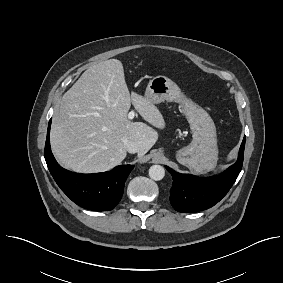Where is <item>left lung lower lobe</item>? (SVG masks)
<instances>
[{
  "mask_svg": "<svg viewBox=\"0 0 283 283\" xmlns=\"http://www.w3.org/2000/svg\"><path fill=\"white\" fill-rule=\"evenodd\" d=\"M245 138L242 141L236 163L223 174L212 177H195L180 174L166 166L173 177L170 202L179 212H197L218 203L236 181L243 164Z\"/></svg>",
  "mask_w": 283,
  "mask_h": 283,
  "instance_id": "0a47b994",
  "label": "left lung lower lobe"
}]
</instances>
